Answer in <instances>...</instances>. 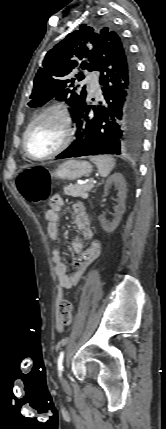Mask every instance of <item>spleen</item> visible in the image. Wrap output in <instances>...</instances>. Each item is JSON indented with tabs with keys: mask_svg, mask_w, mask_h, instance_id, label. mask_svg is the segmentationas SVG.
Segmentation results:
<instances>
[{
	"mask_svg": "<svg viewBox=\"0 0 166 429\" xmlns=\"http://www.w3.org/2000/svg\"><path fill=\"white\" fill-rule=\"evenodd\" d=\"M90 161L97 166L99 174L103 177H107L116 164L111 156H91Z\"/></svg>",
	"mask_w": 166,
	"mask_h": 429,
	"instance_id": "3e777b00",
	"label": "spleen"
}]
</instances>
